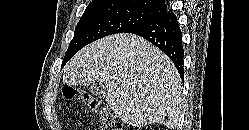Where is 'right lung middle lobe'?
Returning <instances> with one entry per match:
<instances>
[{
	"instance_id": "1",
	"label": "right lung middle lobe",
	"mask_w": 249,
	"mask_h": 130,
	"mask_svg": "<svg viewBox=\"0 0 249 130\" xmlns=\"http://www.w3.org/2000/svg\"><path fill=\"white\" fill-rule=\"evenodd\" d=\"M159 16L136 6L115 3L88 5L76 26L62 67L85 45L108 35L126 32Z\"/></svg>"
}]
</instances>
